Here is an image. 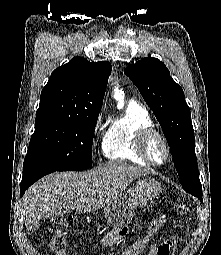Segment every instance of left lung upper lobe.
I'll list each match as a JSON object with an SVG mask.
<instances>
[{"instance_id":"1","label":"left lung upper lobe","mask_w":221,"mask_h":255,"mask_svg":"<svg viewBox=\"0 0 221 255\" xmlns=\"http://www.w3.org/2000/svg\"><path fill=\"white\" fill-rule=\"evenodd\" d=\"M124 73L137 86L159 121L182 188L194 196L202 193L191 113L182 88L174 82L167 67L157 58H143L128 66Z\"/></svg>"}]
</instances>
